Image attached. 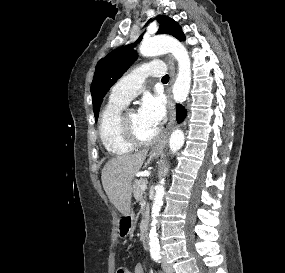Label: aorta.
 <instances>
[{
	"label": "aorta",
	"instance_id": "aorta-1",
	"mask_svg": "<svg viewBox=\"0 0 285 273\" xmlns=\"http://www.w3.org/2000/svg\"><path fill=\"white\" fill-rule=\"evenodd\" d=\"M169 52L178 61V74L174 82L172 93L176 102H184L188 96L191 86V61L185 46L178 40L168 36H156L143 40L140 46V53L144 57H154ZM184 144V133L176 129L172 132L169 139L170 151L174 154ZM164 170V174L167 172ZM165 179L161 178L155 187V197L152 206V222L149 233L151 255L160 254V244L157 234V217L163 205L165 194Z\"/></svg>",
	"mask_w": 285,
	"mask_h": 273
}]
</instances>
